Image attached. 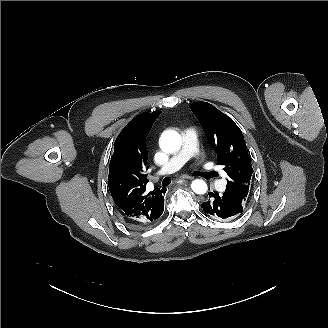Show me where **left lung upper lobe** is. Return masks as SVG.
<instances>
[{
  "instance_id": "left-lung-upper-lobe-1",
  "label": "left lung upper lobe",
  "mask_w": 328,
  "mask_h": 328,
  "mask_svg": "<svg viewBox=\"0 0 328 328\" xmlns=\"http://www.w3.org/2000/svg\"><path fill=\"white\" fill-rule=\"evenodd\" d=\"M217 153V163L228 175L224 195L240 204L246 201L252 176L251 158L236 123L207 102L190 105Z\"/></svg>"
}]
</instances>
